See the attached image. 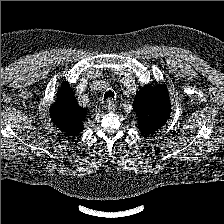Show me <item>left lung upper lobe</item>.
<instances>
[{
    "mask_svg": "<svg viewBox=\"0 0 224 224\" xmlns=\"http://www.w3.org/2000/svg\"><path fill=\"white\" fill-rule=\"evenodd\" d=\"M133 110L138 116V128L144 135H153L167 121L171 103L164 85H146L140 89L133 102Z\"/></svg>",
    "mask_w": 224,
    "mask_h": 224,
    "instance_id": "1",
    "label": "left lung upper lobe"
}]
</instances>
